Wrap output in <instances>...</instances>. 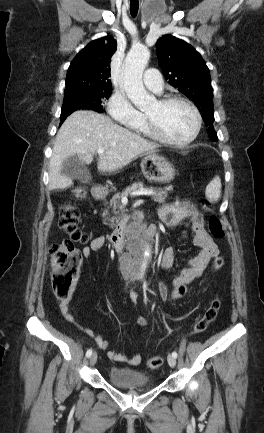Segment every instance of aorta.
<instances>
[{
    "instance_id": "762f6f07",
    "label": "aorta",
    "mask_w": 264,
    "mask_h": 433,
    "mask_svg": "<svg viewBox=\"0 0 264 433\" xmlns=\"http://www.w3.org/2000/svg\"><path fill=\"white\" fill-rule=\"evenodd\" d=\"M150 51L145 46L133 47L127 54L124 66V89L131 102L139 109L153 101L142 82L143 71L149 61ZM151 254L149 244L143 249V261L140 266V277H143Z\"/></svg>"
}]
</instances>
